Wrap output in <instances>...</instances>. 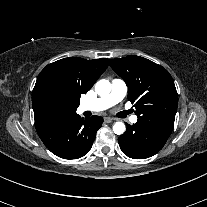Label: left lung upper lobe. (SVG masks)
Returning <instances> with one entry per match:
<instances>
[{
  "label": "left lung upper lobe",
  "instance_id": "obj_1",
  "mask_svg": "<svg viewBox=\"0 0 207 207\" xmlns=\"http://www.w3.org/2000/svg\"><path fill=\"white\" fill-rule=\"evenodd\" d=\"M109 64L125 80L138 120L174 125L177 91L164 67L136 55L111 59Z\"/></svg>",
  "mask_w": 207,
  "mask_h": 207
}]
</instances>
